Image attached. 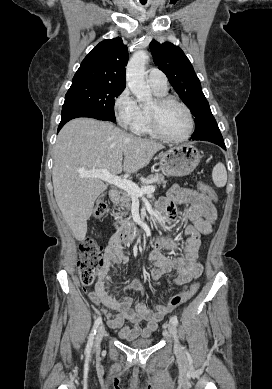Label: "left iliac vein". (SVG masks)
<instances>
[{"mask_svg":"<svg viewBox=\"0 0 272 389\" xmlns=\"http://www.w3.org/2000/svg\"><path fill=\"white\" fill-rule=\"evenodd\" d=\"M168 334L173 338L174 340V349L176 352L181 351V345L178 340V335H177V327L174 323L170 322L168 324Z\"/></svg>","mask_w":272,"mask_h":389,"instance_id":"1","label":"left iliac vein"}]
</instances>
